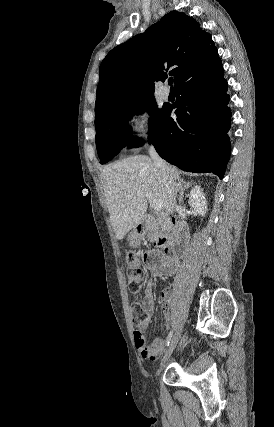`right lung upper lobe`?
<instances>
[{
    "instance_id": "1",
    "label": "right lung upper lobe",
    "mask_w": 274,
    "mask_h": 427,
    "mask_svg": "<svg viewBox=\"0 0 274 427\" xmlns=\"http://www.w3.org/2000/svg\"><path fill=\"white\" fill-rule=\"evenodd\" d=\"M221 63L210 34L183 12L171 11L160 23L112 49L100 65L95 114L124 99L154 95L169 74L175 87L190 74Z\"/></svg>"
}]
</instances>
